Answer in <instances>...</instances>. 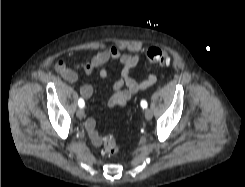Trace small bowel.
<instances>
[{
    "label": "small bowel",
    "instance_id": "obj_1",
    "mask_svg": "<svg viewBox=\"0 0 245 187\" xmlns=\"http://www.w3.org/2000/svg\"><path fill=\"white\" fill-rule=\"evenodd\" d=\"M141 55L124 53L116 46L107 47L87 61L71 66L65 61L60 60L56 64V71L67 82L74 83L78 80V72L82 71L85 75H90L95 69H99L98 76L104 81L109 80V73L102 68L110 60H116L121 65L120 77L113 82L109 98L104 105L110 109H118L125 106L137 93L145 91L153 86L157 77L154 74L148 75L141 82L136 81L130 76V71L139 63ZM80 95L84 99H89L92 95V87L85 84L80 88ZM86 130L95 146H100L103 142L102 136L96 129L95 120L89 118L85 123Z\"/></svg>",
    "mask_w": 245,
    "mask_h": 187
}]
</instances>
